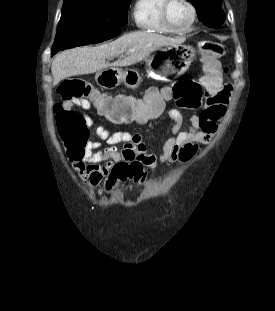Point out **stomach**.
I'll return each mask as SVG.
<instances>
[{
	"mask_svg": "<svg viewBox=\"0 0 275 311\" xmlns=\"http://www.w3.org/2000/svg\"><path fill=\"white\" fill-rule=\"evenodd\" d=\"M196 50L183 44L164 46L146 59V71L152 78L170 82L185 73L195 58ZM95 80L103 88H113L120 83L127 87L136 88L141 83V77L135 70H122L109 67L100 70Z\"/></svg>",
	"mask_w": 275,
	"mask_h": 311,
	"instance_id": "0dacf381",
	"label": "stomach"
}]
</instances>
